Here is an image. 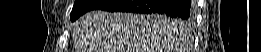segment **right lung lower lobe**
I'll return each instance as SVG.
<instances>
[{"label": "right lung lower lobe", "mask_w": 261, "mask_h": 52, "mask_svg": "<svg viewBox=\"0 0 261 52\" xmlns=\"http://www.w3.org/2000/svg\"><path fill=\"white\" fill-rule=\"evenodd\" d=\"M194 3L190 0H106L96 9L109 12H133L164 14L170 17L190 19Z\"/></svg>", "instance_id": "1"}]
</instances>
